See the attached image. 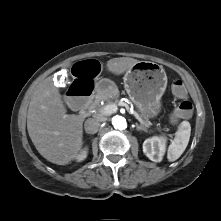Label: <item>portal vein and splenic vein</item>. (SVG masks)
<instances>
[{
    "instance_id": "18ae733b",
    "label": "portal vein and splenic vein",
    "mask_w": 221,
    "mask_h": 221,
    "mask_svg": "<svg viewBox=\"0 0 221 221\" xmlns=\"http://www.w3.org/2000/svg\"><path fill=\"white\" fill-rule=\"evenodd\" d=\"M117 109L118 107L116 104H110V105L103 107V109L100 112L102 115H110L112 113H115ZM134 116L141 124H144L142 119L137 114H134Z\"/></svg>"
}]
</instances>
